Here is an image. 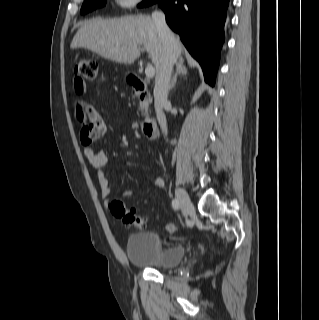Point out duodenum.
<instances>
[{
  "instance_id": "410a0bca",
  "label": "duodenum",
  "mask_w": 319,
  "mask_h": 320,
  "mask_svg": "<svg viewBox=\"0 0 319 320\" xmlns=\"http://www.w3.org/2000/svg\"><path fill=\"white\" fill-rule=\"evenodd\" d=\"M129 83L131 84L132 88L140 94L141 98L144 99L146 97V84L145 82L136 75L129 76ZM142 129L144 134L149 140L156 139L158 129L157 125L150 119L145 120L142 123Z\"/></svg>"
}]
</instances>
